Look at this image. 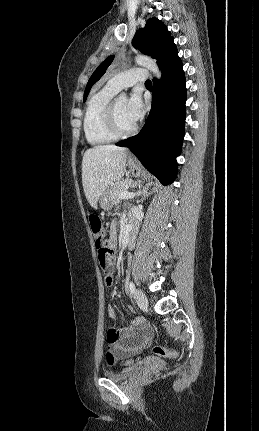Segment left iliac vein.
<instances>
[{"label": "left iliac vein", "mask_w": 259, "mask_h": 431, "mask_svg": "<svg viewBox=\"0 0 259 431\" xmlns=\"http://www.w3.org/2000/svg\"><path fill=\"white\" fill-rule=\"evenodd\" d=\"M135 299H136V303L137 305L142 308L145 309L148 306V300L146 295L144 294L143 291L137 289L135 292Z\"/></svg>", "instance_id": "1"}]
</instances>
